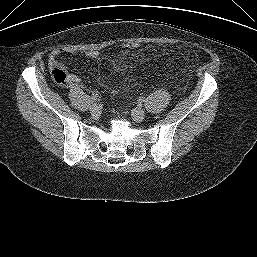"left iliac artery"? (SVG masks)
I'll return each mask as SVG.
<instances>
[{
	"label": "left iliac artery",
	"instance_id": "obj_1",
	"mask_svg": "<svg viewBox=\"0 0 257 257\" xmlns=\"http://www.w3.org/2000/svg\"><path fill=\"white\" fill-rule=\"evenodd\" d=\"M144 101H145V98H144V97H140V98H139V102H140V103H143Z\"/></svg>",
	"mask_w": 257,
	"mask_h": 257
}]
</instances>
